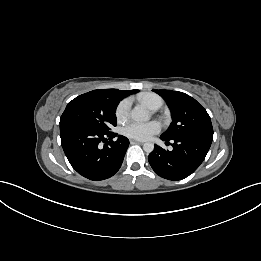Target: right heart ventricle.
Wrapping results in <instances>:
<instances>
[{
  "instance_id": "1",
  "label": "right heart ventricle",
  "mask_w": 261,
  "mask_h": 261,
  "mask_svg": "<svg viewBox=\"0 0 261 261\" xmlns=\"http://www.w3.org/2000/svg\"><path fill=\"white\" fill-rule=\"evenodd\" d=\"M140 101L142 104H144L146 107L152 109L154 107V105L161 101V98L155 94H152V93H146V94H143L141 97H140Z\"/></svg>"
}]
</instances>
